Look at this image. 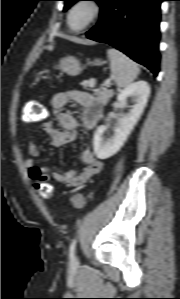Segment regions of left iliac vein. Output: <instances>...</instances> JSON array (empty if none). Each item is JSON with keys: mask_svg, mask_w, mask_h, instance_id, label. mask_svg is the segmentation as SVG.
<instances>
[{"mask_svg": "<svg viewBox=\"0 0 180 299\" xmlns=\"http://www.w3.org/2000/svg\"><path fill=\"white\" fill-rule=\"evenodd\" d=\"M73 260H74V262H77V259H76V258H74Z\"/></svg>", "mask_w": 180, "mask_h": 299, "instance_id": "4c4485c4", "label": "left iliac vein"}]
</instances>
